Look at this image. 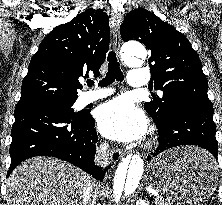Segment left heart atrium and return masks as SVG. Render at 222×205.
<instances>
[{
    "mask_svg": "<svg viewBox=\"0 0 222 205\" xmlns=\"http://www.w3.org/2000/svg\"><path fill=\"white\" fill-rule=\"evenodd\" d=\"M97 123L106 137L123 142L140 139L147 129L144 113L126 97L116 98L100 106Z\"/></svg>",
    "mask_w": 222,
    "mask_h": 205,
    "instance_id": "39dd6f15",
    "label": "left heart atrium"
}]
</instances>
